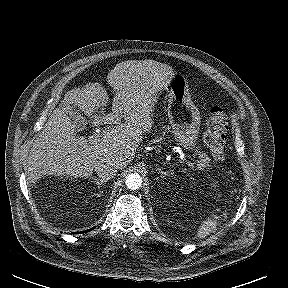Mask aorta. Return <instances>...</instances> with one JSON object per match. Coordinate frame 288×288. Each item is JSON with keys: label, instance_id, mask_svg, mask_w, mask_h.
Masks as SVG:
<instances>
[{"label": "aorta", "instance_id": "aorta-1", "mask_svg": "<svg viewBox=\"0 0 288 288\" xmlns=\"http://www.w3.org/2000/svg\"><path fill=\"white\" fill-rule=\"evenodd\" d=\"M125 184L128 189L137 190L142 186V177L137 173H131L126 177Z\"/></svg>", "mask_w": 288, "mask_h": 288}]
</instances>
